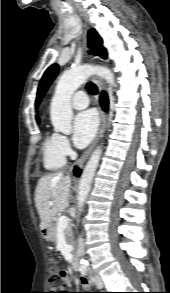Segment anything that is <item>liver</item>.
Listing matches in <instances>:
<instances>
[{
  "mask_svg": "<svg viewBox=\"0 0 170 293\" xmlns=\"http://www.w3.org/2000/svg\"><path fill=\"white\" fill-rule=\"evenodd\" d=\"M71 181V177L64 176L62 172L48 174L38 180L35 204L41 219V230L48 229L56 214L67 208ZM49 202H53V205H49Z\"/></svg>",
  "mask_w": 170,
  "mask_h": 293,
  "instance_id": "1",
  "label": "liver"
}]
</instances>
